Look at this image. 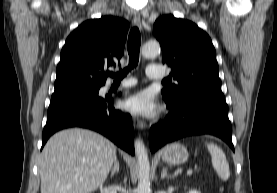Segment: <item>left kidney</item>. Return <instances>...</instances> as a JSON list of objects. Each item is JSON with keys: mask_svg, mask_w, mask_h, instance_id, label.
Instances as JSON below:
<instances>
[{"mask_svg": "<svg viewBox=\"0 0 277 193\" xmlns=\"http://www.w3.org/2000/svg\"><path fill=\"white\" fill-rule=\"evenodd\" d=\"M189 193H200V192H198L196 190H190Z\"/></svg>", "mask_w": 277, "mask_h": 193, "instance_id": "5707ae66", "label": "left kidney"}]
</instances>
